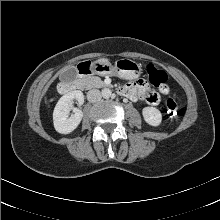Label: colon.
I'll list each match as a JSON object with an SVG mask.
<instances>
[{
  "label": "colon",
  "mask_w": 220,
  "mask_h": 220,
  "mask_svg": "<svg viewBox=\"0 0 220 220\" xmlns=\"http://www.w3.org/2000/svg\"><path fill=\"white\" fill-rule=\"evenodd\" d=\"M146 72L150 82L156 87L164 85L167 81L166 73L153 64H149L146 67ZM179 113V104L172 98L168 99L165 107L166 117L170 121H176L179 118Z\"/></svg>",
  "instance_id": "5ec220e1"
}]
</instances>
